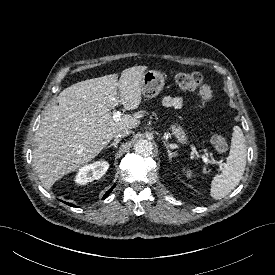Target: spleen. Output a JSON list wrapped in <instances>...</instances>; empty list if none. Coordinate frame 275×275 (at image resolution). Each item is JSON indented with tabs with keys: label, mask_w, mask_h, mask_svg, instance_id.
I'll return each instance as SVG.
<instances>
[{
	"label": "spleen",
	"mask_w": 275,
	"mask_h": 275,
	"mask_svg": "<svg viewBox=\"0 0 275 275\" xmlns=\"http://www.w3.org/2000/svg\"><path fill=\"white\" fill-rule=\"evenodd\" d=\"M247 150L245 138L239 126H234L230 153L226 163L211 183L210 195L219 200L226 197L234 190L245 171Z\"/></svg>",
	"instance_id": "obj_1"
}]
</instances>
